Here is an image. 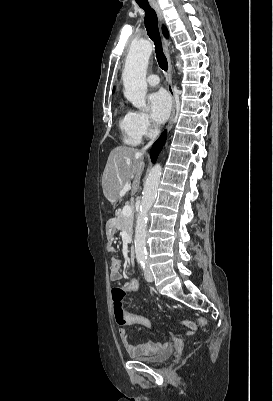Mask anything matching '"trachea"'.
I'll return each mask as SVG.
<instances>
[{"label": "trachea", "instance_id": "obj_1", "mask_svg": "<svg viewBox=\"0 0 273 401\" xmlns=\"http://www.w3.org/2000/svg\"><path fill=\"white\" fill-rule=\"evenodd\" d=\"M145 11V27L149 38L152 39L155 45V53L158 65L162 70H168L167 58L163 53L160 34L158 30V18L155 10L150 5H140Z\"/></svg>", "mask_w": 273, "mask_h": 401}]
</instances>
